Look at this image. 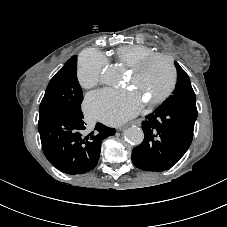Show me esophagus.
Here are the masks:
<instances>
[{
  "label": "esophagus",
  "mask_w": 227,
  "mask_h": 227,
  "mask_svg": "<svg viewBox=\"0 0 227 227\" xmlns=\"http://www.w3.org/2000/svg\"><path fill=\"white\" fill-rule=\"evenodd\" d=\"M135 124L140 125V124H141V121H140V120H136V121H134V120L126 121V122H124V123L122 124V127H120V128L118 129V131H122V130H124V129H129V128H131V126H135Z\"/></svg>",
  "instance_id": "esophagus-1"
}]
</instances>
